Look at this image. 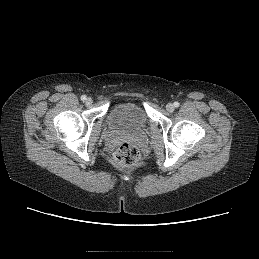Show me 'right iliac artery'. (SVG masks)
I'll return each mask as SVG.
<instances>
[{"instance_id": "82829eb1", "label": "right iliac artery", "mask_w": 259, "mask_h": 259, "mask_svg": "<svg viewBox=\"0 0 259 259\" xmlns=\"http://www.w3.org/2000/svg\"><path fill=\"white\" fill-rule=\"evenodd\" d=\"M81 100H82V101H85V100H86V96H85V95H82V96H81Z\"/></svg>"}]
</instances>
